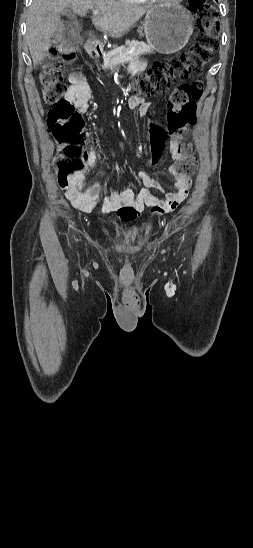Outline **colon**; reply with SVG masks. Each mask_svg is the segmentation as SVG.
<instances>
[{
	"instance_id": "5ec220e1",
	"label": "colon",
	"mask_w": 253,
	"mask_h": 548,
	"mask_svg": "<svg viewBox=\"0 0 253 548\" xmlns=\"http://www.w3.org/2000/svg\"><path fill=\"white\" fill-rule=\"evenodd\" d=\"M197 12L200 33L188 50L171 57L166 62H154L148 70L136 79L139 95L153 96L167 93L171 86L182 80L199 76L217 48L220 23L215 10L207 0H189ZM74 43L65 44L62 49L53 48L41 62L40 83L45 102L52 107L48 113L50 130L59 143L56 167L59 184L67 186L71 178L85 171L83 164L84 122L74 105L64 98L68 90L64 80V69L75 60ZM203 84L194 80L178 86L171 95L166 117L167 126L156 129L161 137H179L196 120L195 100L200 98ZM161 162L157 152L150 160L151 166ZM198 162L190 144H182L176 161L171 165V174L190 176L197 170Z\"/></svg>"
}]
</instances>
